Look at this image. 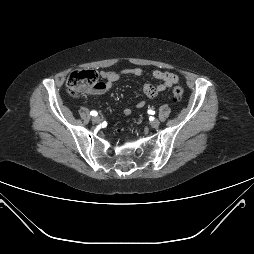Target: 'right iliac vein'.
I'll list each match as a JSON object with an SVG mask.
<instances>
[{"instance_id": "1", "label": "right iliac vein", "mask_w": 254, "mask_h": 254, "mask_svg": "<svg viewBox=\"0 0 254 254\" xmlns=\"http://www.w3.org/2000/svg\"><path fill=\"white\" fill-rule=\"evenodd\" d=\"M92 122H93V123H100V122H101V118H100L99 116H94V117L92 118Z\"/></svg>"}]
</instances>
